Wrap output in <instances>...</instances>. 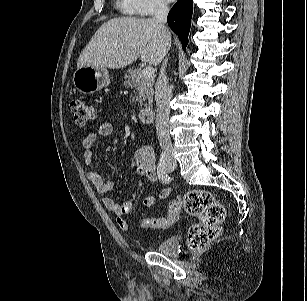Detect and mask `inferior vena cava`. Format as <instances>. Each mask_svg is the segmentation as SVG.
<instances>
[{"mask_svg":"<svg viewBox=\"0 0 307 301\" xmlns=\"http://www.w3.org/2000/svg\"><path fill=\"white\" fill-rule=\"evenodd\" d=\"M169 12L167 3L160 2L157 4L154 14V19L159 23L162 35L167 40L170 37V32L166 27V19ZM169 44L165 43V56L168 54ZM168 58H164L160 69L159 76L155 84V100H156V131L160 147L163 152L169 154L172 152V143L169 135V113H170V99L172 91L168 86V80L165 73Z\"/></svg>","mask_w":307,"mask_h":301,"instance_id":"obj_1","label":"inferior vena cava"}]
</instances>
